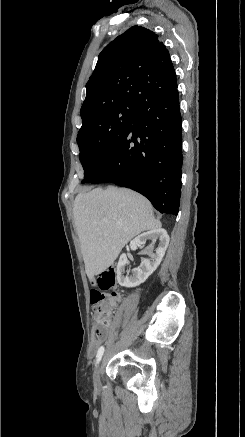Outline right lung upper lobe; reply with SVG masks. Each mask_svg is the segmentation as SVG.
Listing matches in <instances>:
<instances>
[{
  "instance_id": "right-lung-upper-lobe-1",
  "label": "right lung upper lobe",
  "mask_w": 245,
  "mask_h": 437,
  "mask_svg": "<svg viewBox=\"0 0 245 437\" xmlns=\"http://www.w3.org/2000/svg\"><path fill=\"white\" fill-rule=\"evenodd\" d=\"M177 88L176 73L158 35L133 26L108 44L86 84L82 121L115 104H134Z\"/></svg>"
}]
</instances>
